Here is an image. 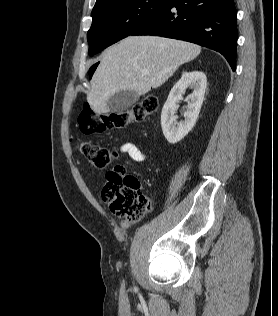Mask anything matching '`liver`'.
<instances>
[{
  "label": "liver",
  "instance_id": "obj_1",
  "mask_svg": "<svg viewBox=\"0 0 278 316\" xmlns=\"http://www.w3.org/2000/svg\"><path fill=\"white\" fill-rule=\"evenodd\" d=\"M200 52V46L186 41L129 36L101 59L91 79L87 102L96 113H108L107 101L116 92L146 94L164 84L180 65L195 59Z\"/></svg>",
  "mask_w": 278,
  "mask_h": 316
}]
</instances>
